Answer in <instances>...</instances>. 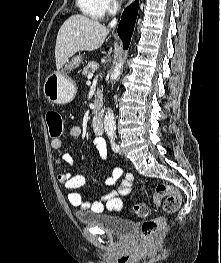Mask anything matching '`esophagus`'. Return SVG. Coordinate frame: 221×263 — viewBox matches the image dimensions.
I'll list each match as a JSON object with an SVG mask.
<instances>
[{"mask_svg":"<svg viewBox=\"0 0 221 263\" xmlns=\"http://www.w3.org/2000/svg\"><path fill=\"white\" fill-rule=\"evenodd\" d=\"M134 0H129V5L133 2Z\"/></svg>","mask_w":221,"mask_h":263,"instance_id":"esophagus-1","label":"esophagus"}]
</instances>
